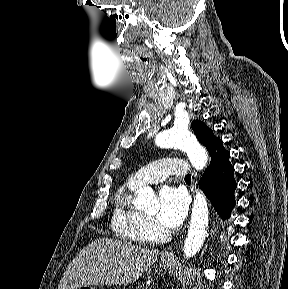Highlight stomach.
I'll use <instances>...</instances> for the list:
<instances>
[{
  "instance_id": "0dacf381",
  "label": "stomach",
  "mask_w": 288,
  "mask_h": 289,
  "mask_svg": "<svg viewBox=\"0 0 288 289\" xmlns=\"http://www.w3.org/2000/svg\"><path fill=\"white\" fill-rule=\"evenodd\" d=\"M170 264H171L170 260H166V261L163 260V261L160 262V266L162 268L168 267ZM83 289H95V288L91 287V286H88V287H83Z\"/></svg>"
}]
</instances>
